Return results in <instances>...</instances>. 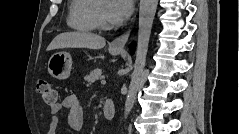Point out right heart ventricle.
<instances>
[{
    "instance_id": "e07e8e85",
    "label": "right heart ventricle",
    "mask_w": 239,
    "mask_h": 134,
    "mask_svg": "<svg viewBox=\"0 0 239 134\" xmlns=\"http://www.w3.org/2000/svg\"><path fill=\"white\" fill-rule=\"evenodd\" d=\"M96 0H72L69 5L67 24L80 32H92L96 29L93 8Z\"/></svg>"
}]
</instances>
